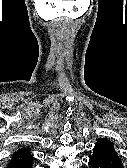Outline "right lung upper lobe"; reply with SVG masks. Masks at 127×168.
<instances>
[{
	"instance_id": "right-lung-upper-lobe-1",
	"label": "right lung upper lobe",
	"mask_w": 127,
	"mask_h": 168,
	"mask_svg": "<svg viewBox=\"0 0 127 168\" xmlns=\"http://www.w3.org/2000/svg\"><path fill=\"white\" fill-rule=\"evenodd\" d=\"M30 156V149H21L13 154L12 158Z\"/></svg>"
}]
</instances>
